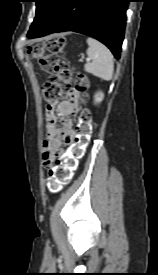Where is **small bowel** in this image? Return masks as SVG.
<instances>
[{"instance_id":"1","label":"small bowel","mask_w":158,"mask_h":275,"mask_svg":"<svg viewBox=\"0 0 158 275\" xmlns=\"http://www.w3.org/2000/svg\"><path fill=\"white\" fill-rule=\"evenodd\" d=\"M79 94L70 91L69 100L48 104L46 108V137L42 145L44 167L48 168L57 157L65 153V146L72 145L75 139L71 116L79 107ZM62 124L60 128L58 123Z\"/></svg>"}]
</instances>
